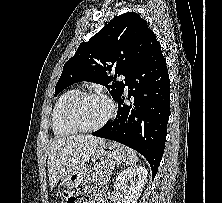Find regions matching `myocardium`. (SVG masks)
Here are the masks:
<instances>
[{
    "mask_svg": "<svg viewBox=\"0 0 222 203\" xmlns=\"http://www.w3.org/2000/svg\"><path fill=\"white\" fill-rule=\"evenodd\" d=\"M85 97H99L103 99L109 107V112L106 117L93 126H83L78 122L75 117L74 110L78 102ZM115 115V106L113 101L104 93L96 92V91H84L78 92L74 95L70 101L67 103L64 111V119L68 126L76 130L77 132H93L104 127Z\"/></svg>",
    "mask_w": 222,
    "mask_h": 203,
    "instance_id": "myocardium-1",
    "label": "myocardium"
}]
</instances>
